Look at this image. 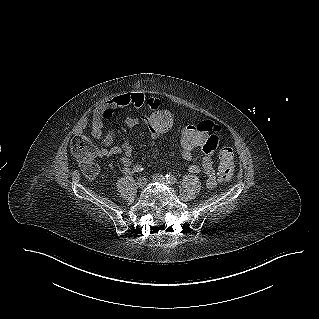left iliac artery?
Returning <instances> with one entry per match:
<instances>
[{
  "mask_svg": "<svg viewBox=\"0 0 319 319\" xmlns=\"http://www.w3.org/2000/svg\"><path fill=\"white\" fill-rule=\"evenodd\" d=\"M165 177H166L167 182L170 184H175L177 182L176 177L171 175V174H166Z\"/></svg>",
  "mask_w": 319,
  "mask_h": 319,
  "instance_id": "left-iliac-artery-1",
  "label": "left iliac artery"
}]
</instances>
